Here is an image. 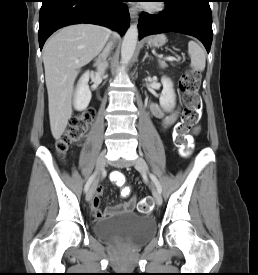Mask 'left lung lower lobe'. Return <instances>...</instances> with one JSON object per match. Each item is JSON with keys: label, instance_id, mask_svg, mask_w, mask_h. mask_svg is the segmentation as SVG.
Returning <instances> with one entry per match:
<instances>
[{"label": "left lung lower lobe", "instance_id": "1", "mask_svg": "<svg viewBox=\"0 0 258 275\" xmlns=\"http://www.w3.org/2000/svg\"><path fill=\"white\" fill-rule=\"evenodd\" d=\"M167 7L157 15L141 13L139 38L169 31L198 38L209 53L213 31L209 0H165Z\"/></svg>", "mask_w": 258, "mask_h": 275}]
</instances>
